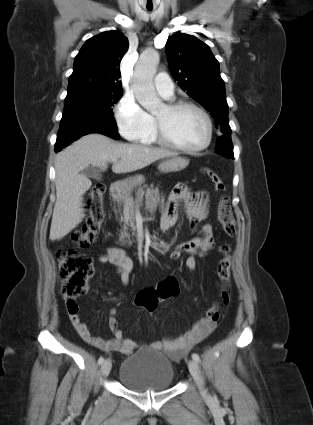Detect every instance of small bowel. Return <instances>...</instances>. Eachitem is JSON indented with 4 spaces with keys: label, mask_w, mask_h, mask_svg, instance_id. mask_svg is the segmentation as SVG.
Instances as JSON below:
<instances>
[{
    "label": "small bowel",
    "mask_w": 313,
    "mask_h": 425,
    "mask_svg": "<svg viewBox=\"0 0 313 425\" xmlns=\"http://www.w3.org/2000/svg\"><path fill=\"white\" fill-rule=\"evenodd\" d=\"M207 201L208 195L204 191H193L184 183L177 184L172 190L168 209L161 218L160 229L167 231L176 224L178 219V205L180 203L184 204L187 219L191 226L195 227V225L207 217ZM202 233V236L194 237L176 246L170 253L171 259H179L183 253H187L189 257L186 259V266L190 271H195L197 265L196 255L201 254L203 249L212 247L213 245L211 226L205 225ZM98 261L100 263L112 264L116 268L122 283L125 285L128 284L132 270V261L123 249L109 247L106 253L98 256ZM66 305L72 325L86 343L106 352H119L124 355L131 354L138 347L136 341L124 337L119 328L118 320L115 317V309L110 311L109 318V326L114 334V338L105 339L92 335L87 324L79 317V307L76 302L74 304L66 302ZM214 326L208 323L206 319H202L196 322L181 337L156 341L151 346L155 349H164L173 359L178 360L193 346L204 340L211 333Z\"/></svg>",
    "instance_id": "c3829d8e"
}]
</instances>
